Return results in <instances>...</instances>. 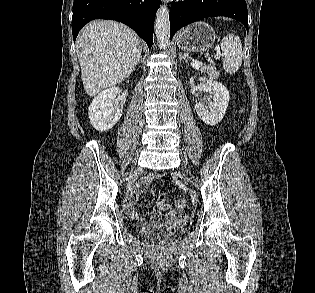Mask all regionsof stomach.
I'll use <instances>...</instances> for the list:
<instances>
[{
  "label": "stomach",
  "mask_w": 315,
  "mask_h": 293,
  "mask_svg": "<svg viewBox=\"0 0 315 293\" xmlns=\"http://www.w3.org/2000/svg\"><path fill=\"white\" fill-rule=\"evenodd\" d=\"M214 29L205 22H196L182 29L177 37V45L188 52H205L214 44Z\"/></svg>",
  "instance_id": "obj_1"
}]
</instances>
